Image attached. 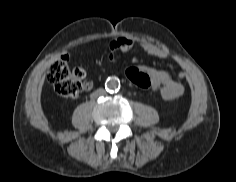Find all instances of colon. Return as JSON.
<instances>
[{"label":"colon","instance_id":"1","mask_svg":"<svg viewBox=\"0 0 236 182\" xmlns=\"http://www.w3.org/2000/svg\"><path fill=\"white\" fill-rule=\"evenodd\" d=\"M127 79L136 87L147 89L151 87L149 74L139 67H130L125 72ZM85 73L80 68L69 69L62 60L53 62L47 72L48 81L54 90L62 97H76L83 90Z\"/></svg>","mask_w":236,"mask_h":182}]
</instances>
